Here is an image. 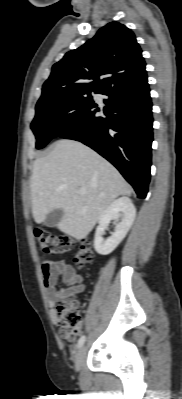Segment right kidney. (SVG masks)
Here are the masks:
<instances>
[{"label": "right kidney", "mask_w": 182, "mask_h": 399, "mask_svg": "<svg viewBox=\"0 0 182 399\" xmlns=\"http://www.w3.org/2000/svg\"><path fill=\"white\" fill-rule=\"evenodd\" d=\"M135 216L136 209L128 197L123 196L114 200L98 219L99 225L96 228L94 238L96 252L101 255L110 254L125 238L135 220ZM119 218H121L120 222H118ZM112 219L118 222L115 231L109 238L104 239L102 236Z\"/></svg>", "instance_id": "1"}]
</instances>
